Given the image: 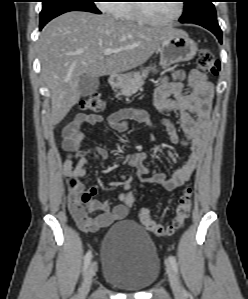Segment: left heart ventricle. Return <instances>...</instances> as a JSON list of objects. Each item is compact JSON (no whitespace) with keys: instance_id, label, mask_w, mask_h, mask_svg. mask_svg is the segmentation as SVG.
<instances>
[{"instance_id":"left-heart-ventricle-1","label":"left heart ventricle","mask_w":248,"mask_h":299,"mask_svg":"<svg viewBox=\"0 0 248 299\" xmlns=\"http://www.w3.org/2000/svg\"><path fill=\"white\" fill-rule=\"evenodd\" d=\"M145 10L158 19H167L176 14V1H156L145 3Z\"/></svg>"}]
</instances>
